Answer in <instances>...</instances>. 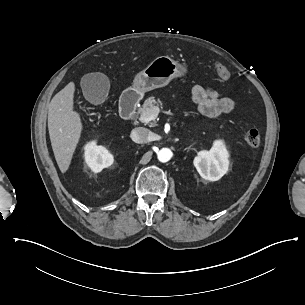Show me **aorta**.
<instances>
[{
  "label": "aorta",
  "mask_w": 305,
  "mask_h": 305,
  "mask_svg": "<svg viewBox=\"0 0 305 305\" xmlns=\"http://www.w3.org/2000/svg\"><path fill=\"white\" fill-rule=\"evenodd\" d=\"M157 158L160 162H168L172 158V151L169 148H162L157 152Z\"/></svg>",
  "instance_id": "1"
}]
</instances>
